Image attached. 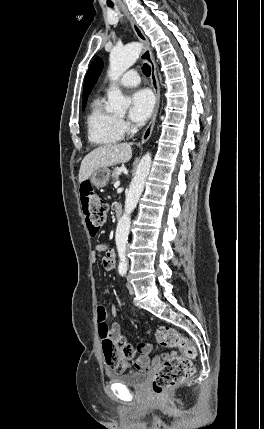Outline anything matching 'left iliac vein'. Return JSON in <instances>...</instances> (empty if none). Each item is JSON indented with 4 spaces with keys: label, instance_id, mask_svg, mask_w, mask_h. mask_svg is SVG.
<instances>
[{
    "label": "left iliac vein",
    "instance_id": "1",
    "mask_svg": "<svg viewBox=\"0 0 264 429\" xmlns=\"http://www.w3.org/2000/svg\"><path fill=\"white\" fill-rule=\"evenodd\" d=\"M127 288H128V290H129V292H130L131 294H133V287H132V285H131V283H130L129 279H128V281H127Z\"/></svg>",
    "mask_w": 264,
    "mask_h": 429
}]
</instances>
